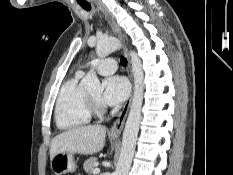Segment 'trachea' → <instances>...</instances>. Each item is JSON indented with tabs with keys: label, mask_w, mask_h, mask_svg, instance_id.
<instances>
[{
	"label": "trachea",
	"mask_w": 233,
	"mask_h": 175,
	"mask_svg": "<svg viewBox=\"0 0 233 175\" xmlns=\"http://www.w3.org/2000/svg\"><path fill=\"white\" fill-rule=\"evenodd\" d=\"M81 6H82L83 9H85L87 11H89L91 9L90 4H81ZM120 61H121V64L123 66L127 65V59L125 57H122Z\"/></svg>",
	"instance_id": "3493384b"
}]
</instances>
